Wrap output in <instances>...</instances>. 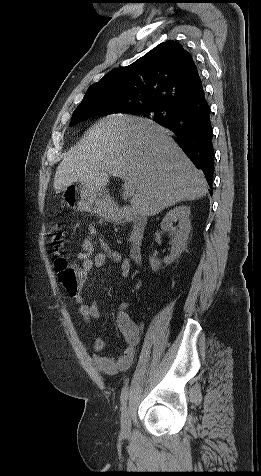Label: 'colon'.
Instances as JSON below:
<instances>
[{"instance_id": "colon-1", "label": "colon", "mask_w": 261, "mask_h": 476, "mask_svg": "<svg viewBox=\"0 0 261 476\" xmlns=\"http://www.w3.org/2000/svg\"><path fill=\"white\" fill-rule=\"evenodd\" d=\"M59 237V236H57ZM58 281L68 292H75L79 286V274L64 257L57 256L54 262Z\"/></svg>"}]
</instances>
